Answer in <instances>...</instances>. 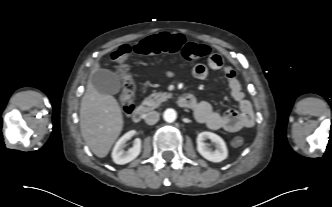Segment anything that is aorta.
Listing matches in <instances>:
<instances>
[{"instance_id":"obj_1","label":"aorta","mask_w":332,"mask_h":207,"mask_svg":"<svg viewBox=\"0 0 332 207\" xmlns=\"http://www.w3.org/2000/svg\"><path fill=\"white\" fill-rule=\"evenodd\" d=\"M163 118L166 122L172 123L176 120L177 113L174 109L169 108V109L164 111Z\"/></svg>"}]
</instances>
